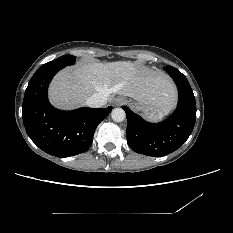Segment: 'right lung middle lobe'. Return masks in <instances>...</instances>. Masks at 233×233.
<instances>
[{"mask_svg": "<svg viewBox=\"0 0 233 233\" xmlns=\"http://www.w3.org/2000/svg\"><path fill=\"white\" fill-rule=\"evenodd\" d=\"M75 60H76L75 56L64 55V56L59 57L58 59H55L53 61L43 64L38 70L52 68L56 66H60L64 68L65 66L74 64Z\"/></svg>", "mask_w": 233, "mask_h": 233, "instance_id": "right-lung-middle-lobe-1", "label": "right lung middle lobe"}]
</instances>
